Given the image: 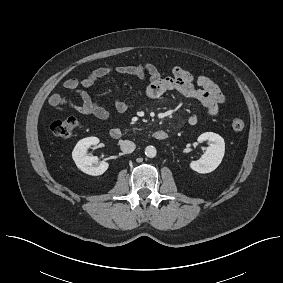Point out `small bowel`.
<instances>
[{"label":"small bowel","mask_w":283,"mask_h":283,"mask_svg":"<svg viewBox=\"0 0 283 283\" xmlns=\"http://www.w3.org/2000/svg\"><path fill=\"white\" fill-rule=\"evenodd\" d=\"M127 75L135 77L146 82L145 96L150 99H156L169 91H176L187 98L199 102L210 116H217L220 106L224 103L225 97L219 86L208 76L200 75L194 77L189 71L182 67L175 66L171 70V75H164L153 64H138L127 66L100 67L92 71L84 78L67 79L64 88L78 96L79 103L69 98L53 93L48 99L49 105L57 110L73 109L81 114H93L101 120L110 117V112L99 105L85 91L92 87L99 79L109 75ZM129 104L121 99L114 101V109L123 113L127 111ZM198 116L192 114L188 117L187 123L193 127L198 124Z\"/></svg>","instance_id":"c3829d8e"}]
</instances>
